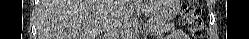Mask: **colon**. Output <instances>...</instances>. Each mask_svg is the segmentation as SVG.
Wrapping results in <instances>:
<instances>
[{"label": "colon", "instance_id": "1", "mask_svg": "<svg viewBox=\"0 0 249 39\" xmlns=\"http://www.w3.org/2000/svg\"><path fill=\"white\" fill-rule=\"evenodd\" d=\"M199 12L198 1H184L182 14L188 30L192 34V39H202L206 36V29L199 20Z\"/></svg>", "mask_w": 249, "mask_h": 39}]
</instances>
